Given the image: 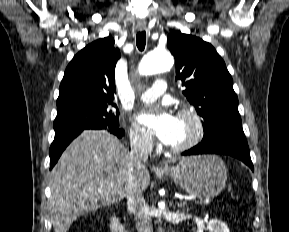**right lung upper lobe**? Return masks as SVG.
Wrapping results in <instances>:
<instances>
[{"instance_id":"1","label":"right lung upper lobe","mask_w":289,"mask_h":232,"mask_svg":"<svg viewBox=\"0 0 289 232\" xmlns=\"http://www.w3.org/2000/svg\"><path fill=\"white\" fill-rule=\"evenodd\" d=\"M120 57L110 36L83 48L65 70L57 107L81 101L114 102L115 66Z\"/></svg>"}]
</instances>
